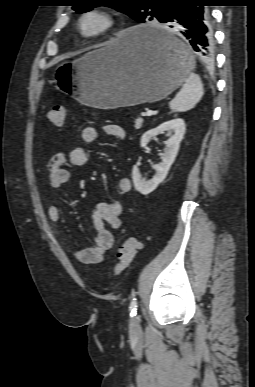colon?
<instances>
[{"mask_svg": "<svg viewBox=\"0 0 255 387\" xmlns=\"http://www.w3.org/2000/svg\"><path fill=\"white\" fill-rule=\"evenodd\" d=\"M47 120L54 126L61 127L65 123L66 109L62 105L51 107L46 113ZM140 243L134 237H127L118 247V262L112 269V275L117 276L125 271L133 262Z\"/></svg>", "mask_w": 255, "mask_h": 387, "instance_id": "obj_1", "label": "colon"}]
</instances>
